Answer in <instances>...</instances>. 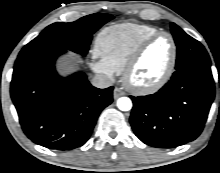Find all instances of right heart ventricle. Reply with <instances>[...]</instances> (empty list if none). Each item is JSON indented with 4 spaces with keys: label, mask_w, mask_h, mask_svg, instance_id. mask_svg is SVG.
I'll use <instances>...</instances> for the list:
<instances>
[{
    "label": "right heart ventricle",
    "mask_w": 220,
    "mask_h": 173,
    "mask_svg": "<svg viewBox=\"0 0 220 173\" xmlns=\"http://www.w3.org/2000/svg\"><path fill=\"white\" fill-rule=\"evenodd\" d=\"M157 32L159 29L146 24L113 25L98 34L95 51L106 66L114 73L121 74L140 42Z\"/></svg>",
    "instance_id": "obj_1"
}]
</instances>
